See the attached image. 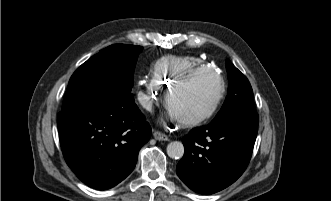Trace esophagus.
<instances>
[{"instance_id": "34e87169", "label": "esophagus", "mask_w": 331, "mask_h": 201, "mask_svg": "<svg viewBox=\"0 0 331 201\" xmlns=\"http://www.w3.org/2000/svg\"><path fill=\"white\" fill-rule=\"evenodd\" d=\"M153 136L156 140H159V141H167L168 140V136L159 132V131H155L153 133Z\"/></svg>"}]
</instances>
